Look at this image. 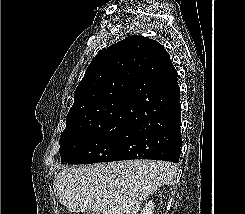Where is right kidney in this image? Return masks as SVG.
I'll use <instances>...</instances> for the list:
<instances>
[{
    "instance_id": "1",
    "label": "right kidney",
    "mask_w": 245,
    "mask_h": 214,
    "mask_svg": "<svg viewBox=\"0 0 245 214\" xmlns=\"http://www.w3.org/2000/svg\"><path fill=\"white\" fill-rule=\"evenodd\" d=\"M154 211V202L150 200L148 203L145 204L143 210H141L140 214H153Z\"/></svg>"
}]
</instances>
